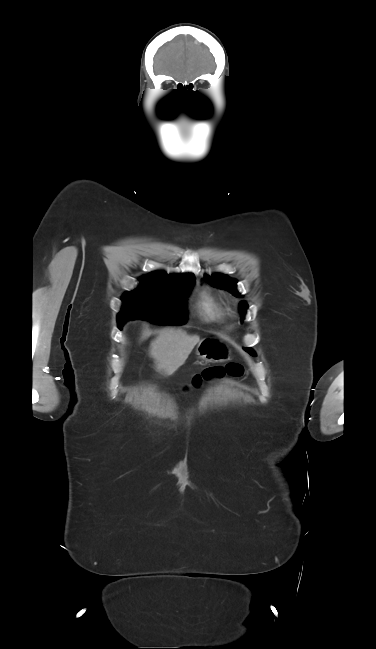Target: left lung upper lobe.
Segmentation results:
<instances>
[{
    "label": "left lung upper lobe",
    "mask_w": 376,
    "mask_h": 649,
    "mask_svg": "<svg viewBox=\"0 0 376 649\" xmlns=\"http://www.w3.org/2000/svg\"><path fill=\"white\" fill-rule=\"evenodd\" d=\"M205 280L211 284L212 286H216L218 288H223L231 292L233 295L240 297V294L236 290V283L237 281L234 279L228 278L226 275L223 274H213L212 276H204ZM247 309V304L244 302H240V312L241 314H244ZM251 355H254L253 353L249 352Z\"/></svg>",
    "instance_id": "left-lung-upper-lobe-1"
}]
</instances>
